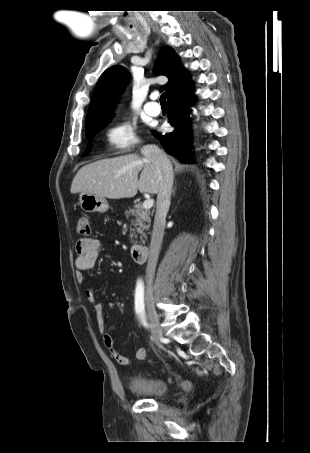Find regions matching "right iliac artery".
Returning <instances> with one entry per match:
<instances>
[{"label": "right iliac artery", "mask_w": 310, "mask_h": 453, "mask_svg": "<svg viewBox=\"0 0 310 453\" xmlns=\"http://www.w3.org/2000/svg\"><path fill=\"white\" fill-rule=\"evenodd\" d=\"M135 311L138 316L144 312V285L141 280L138 281L135 291Z\"/></svg>", "instance_id": "obj_1"}]
</instances>
